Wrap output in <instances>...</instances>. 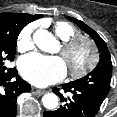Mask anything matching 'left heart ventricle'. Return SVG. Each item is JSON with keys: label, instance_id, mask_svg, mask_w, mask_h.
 Listing matches in <instances>:
<instances>
[{"label": "left heart ventricle", "instance_id": "left-heart-ventricle-1", "mask_svg": "<svg viewBox=\"0 0 117 117\" xmlns=\"http://www.w3.org/2000/svg\"><path fill=\"white\" fill-rule=\"evenodd\" d=\"M88 58V50L85 46L80 47L69 60H65L67 65L78 67L84 64Z\"/></svg>", "mask_w": 117, "mask_h": 117}]
</instances>
